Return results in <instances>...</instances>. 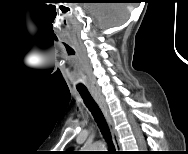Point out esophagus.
I'll return each mask as SVG.
<instances>
[{
    "label": "esophagus",
    "mask_w": 188,
    "mask_h": 154,
    "mask_svg": "<svg viewBox=\"0 0 188 154\" xmlns=\"http://www.w3.org/2000/svg\"><path fill=\"white\" fill-rule=\"evenodd\" d=\"M91 95L93 96L94 100L96 101V103L99 105L100 109L102 110L106 121L108 123L110 132H111V136H112V140L116 149L117 153H121V144L119 141V136H118V132L114 126L113 120L108 112L106 103L104 102V99L102 98V96L99 94L98 91L96 90H91Z\"/></svg>",
    "instance_id": "34e87169"
}]
</instances>
